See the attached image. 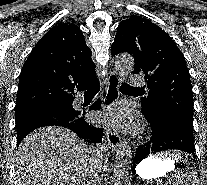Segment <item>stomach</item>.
<instances>
[{
	"label": "stomach",
	"mask_w": 207,
	"mask_h": 185,
	"mask_svg": "<svg viewBox=\"0 0 207 185\" xmlns=\"http://www.w3.org/2000/svg\"><path fill=\"white\" fill-rule=\"evenodd\" d=\"M175 161L171 158H161L158 155L150 156L143 160L136 167V173L139 177L151 180L166 176L174 171Z\"/></svg>",
	"instance_id": "1"
}]
</instances>
